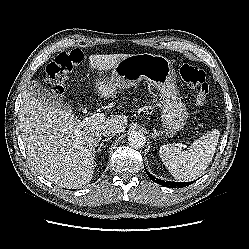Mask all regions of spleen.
Segmentation results:
<instances>
[{
	"label": "spleen",
	"instance_id": "obj_1",
	"mask_svg": "<svg viewBox=\"0 0 249 249\" xmlns=\"http://www.w3.org/2000/svg\"><path fill=\"white\" fill-rule=\"evenodd\" d=\"M219 136L218 129L209 131L187 149H182L181 144L162 145L159 150L160 158L175 179L194 180L202 175L212 161Z\"/></svg>",
	"mask_w": 249,
	"mask_h": 249
}]
</instances>
